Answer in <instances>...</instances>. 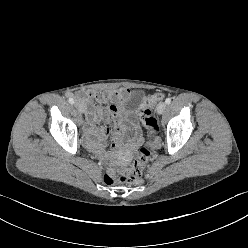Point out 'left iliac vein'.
<instances>
[{"label": "left iliac vein", "mask_w": 248, "mask_h": 248, "mask_svg": "<svg viewBox=\"0 0 248 248\" xmlns=\"http://www.w3.org/2000/svg\"><path fill=\"white\" fill-rule=\"evenodd\" d=\"M166 109V103L165 102H160L157 106V113L162 114Z\"/></svg>", "instance_id": "left-iliac-vein-1"}]
</instances>
